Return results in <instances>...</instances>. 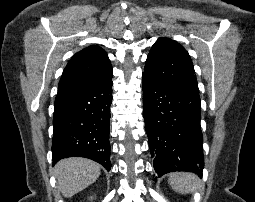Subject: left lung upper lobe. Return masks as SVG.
I'll list each match as a JSON object with an SVG mask.
<instances>
[{
  "instance_id": "obj_1",
  "label": "left lung upper lobe",
  "mask_w": 255,
  "mask_h": 202,
  "mask_svg": "<svg viewBox=\"0 0 255 202\" xmlns=\"http://www.w3.org/2000/svg\"><path fill=\"white\" fill-rule=\"evenodd\" d=\"M143 75L171 89L199 94L193 63L182 45L167 38L152 46Z\"/></svg>"
}]
</instances>
